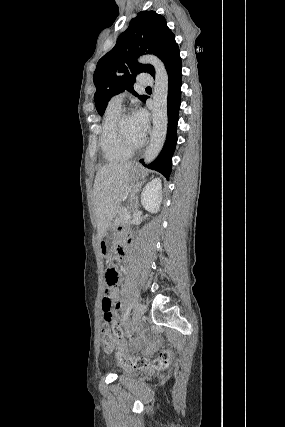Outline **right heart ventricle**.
I'll list each match as a JSON object with an SVG mask.
<instances>
[{"instance_id":"1","label":"right heart ventricle","mask_w":285,"mask_h":427,"mask_svg":"<svg viewBox=\"0 0 285 427\" xmlns=\"http://www.w3.org/2000/svg\"><path fill=\"white\" fill-rule=\"evenodd\" d=\"M120 113V107L109 103L102 120L100 146L105 159L109 162L126 161L133 153L121 145L115 132L116 119Z\"/></svg>"}]
</instances>
